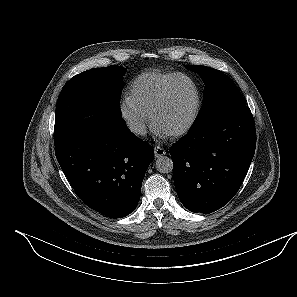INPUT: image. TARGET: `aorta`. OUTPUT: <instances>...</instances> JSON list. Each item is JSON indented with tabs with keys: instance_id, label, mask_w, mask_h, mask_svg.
<instances>
[{
	"instance_id": "1",
	"label": "aorta",
	"mask_w": 297,
	"mask_h": 297,
	"mask_svg": "<svg viewBox=\"0 0 297 297\" xmlns=\"http://www.w3.org/2000/svg\"><path fill=\"white\" fill-rule=\"evenodd\" d=\"M156 169L160 173H170L173 171L172 159L167 156H160L156 160Z\"/></svg>"
}]
</instances>
